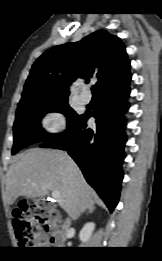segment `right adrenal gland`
<instances>
[{"instance_id":"right-adrenal-gland-1","label":"right adrenal gland","mask_w":162,"mask_h":261,"mask_svg":"<svg viewBox=\"0 0 162 261\" xmlns=\"http://www.w3.org/2000/svg\"><path fill=\"white\" fill-rule=\"evenodd\" d=\"M94 209L93 208H89L87 213H93Z\"/></svg>"}]
</instances>
